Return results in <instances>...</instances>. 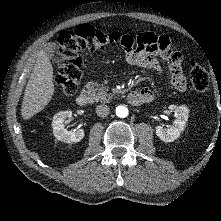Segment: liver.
<instances>
[{
	"mask_svg": "<svg viewBox=\"0 0 221 221\" xmlns=\"http://www.w3.org/2000/svg\"><path fill=\"white\" fill-rule=\"evenodd\" d=\"M54 91L53 67L44 50H41L24 92L22 118L30 119L42 111L51 101Z\"/></svg>",
	"mask_w": 221,
	"mask_h": 221,
	"instance_id": "obj_1",
	"label": "liver"
}]
</instances>
